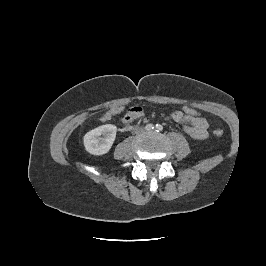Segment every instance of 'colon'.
<instances>
[{"label":"colon","mask_w":266,"mask_h":266,"mask_svg":"<svg viewBox=\"0 0 266 266\" xmlns=\"http://www.w3.org/2000/svg\"><path fill=\"white\" fill-rule=\"evenodd\" d=\"M184 115L188 117L198 118L200 117V112L193 106H183V108L180 110ZM130 116V110H128L122 117L123 121H127ZM214 134L216 136H222L223 130L222 129H216L214 130Z\"/></svg>","instance_id":"colon-1"}]
</instances>
